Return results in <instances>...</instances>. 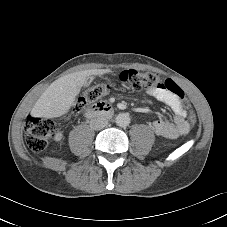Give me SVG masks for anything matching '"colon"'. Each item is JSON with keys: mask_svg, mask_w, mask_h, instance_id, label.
Segmentation results:
<instances>
[{"mask_svg": "<svg viewBox=\"0 0 227 227\" xmlns=\"http://www.w3.org/2000/svg\"><path fill=\"white\" fill-rule=\"evenodd\" d=\"M119 82L134 90L142 89H167L175 94L182 106L190 112V122L194 126L196 117L185 97L184 91L172 80L162 81L158 75L153 73L140 72L137 70H124L118 76ZM113 88L111 82L105 81L91 86L77 100L73 111L80 112L88 105L95 103L101 97L110 93ZM58 127L54 121L43 120L36 117H28L25 123V140L28 148L34 152L43 151L50 139L57 133Z\"/></svg>", "mask_w": 227, "mask_h": 227, "instance_id": "obj_1", "label": "colon"}]
</instances>
